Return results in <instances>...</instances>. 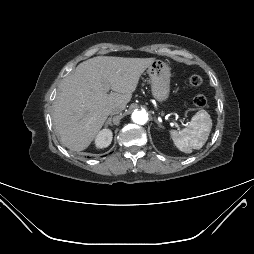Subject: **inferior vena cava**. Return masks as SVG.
I'll list each match as a JSON object with an SVG mask.
<instances>
[{"label":"inferior vena cava","instance_id":"1","mask_svg":"<svg viewBox=\"0 0 254 254\" xmlns=\"http://www.w3.org/2000/svg\"><path fill=\"white\" fill-rule=\"evenodd\" d=\"M123 109L119 106H115L113 108L110 109L109 114L110 115H115V114H119Z\"/></svg>","mask_w":254,"mask_h":254}]
</instances>
